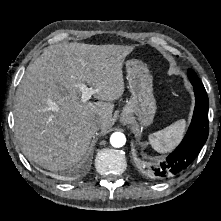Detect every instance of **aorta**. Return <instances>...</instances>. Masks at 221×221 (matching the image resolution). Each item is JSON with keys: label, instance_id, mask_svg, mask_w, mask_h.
<instances>
[{"label": "aorta", "instance_id": "762f6f07", "mask_svg": "<svg viewBox=\"0 0 221 221\" xmlns=\"http://www.w3.org/2000/svg\"><path fill=\"white\" fill-rule=\"evenodd\" d=\"M110 143L115 148L123 147L126 143V137L121 132H114L110 137Z\"/></svg>", "mask_w": 221, "mask_h": 221}]
</instances>
